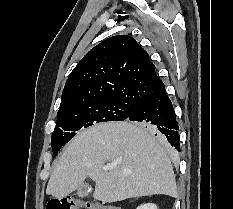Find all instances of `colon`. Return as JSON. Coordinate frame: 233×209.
Returning <instances> with one entry per match:
<instances>
[{
    "mask_svg": "<svg viewBox=\"0 0 233 209\" xmlns=\"http://www.w3.org/2000/svg\"><path fill=\"white\" fill-rule=\"evenodd\" d=\"M46 209H121L102 202L88 201L78 197L54 199L48 202Z\"/></svg>",
    "mask_w": 233,
    "mask_h": 209,
    "instance_id": "1",
    "label": "colon"
}]
</instances>
